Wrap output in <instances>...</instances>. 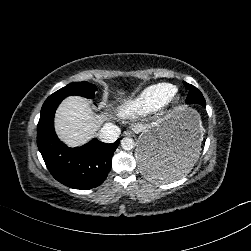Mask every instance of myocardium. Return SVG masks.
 Wrapping results in <instances>:
<instances>
[{"instance_id": "myocardium-1", "label": "myocardium", "mask_w": 251, "mask_h": 251, "mask_svg": "<svg viewBox=\"0 0 251 251\" xmlns=\"http://www.w3.org/2000/svg\"><path fill=\"white\" fill-rule=\"evenodd\" d=\"M185 103V96L183 92L175 85H173V89L169 92L162 103L156 109L158 116L167 118L179 110L182 109Z\"/></svg>"}]
</instances>
